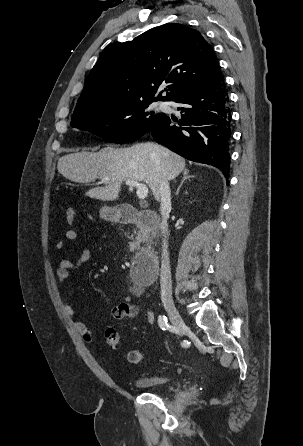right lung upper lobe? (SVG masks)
I'll list each match as a JSON object with an SVG mask.
<instances>
[{
  "mask_svg": "<svg viewBox=\"0 0 303 446\" xmlns=\"http://www.w3.org/2000/svg\"><path fill=\"white\" fill-rule=\"evenodd\" d=\"M221 77L214 51L198 31L183 24H164L104 49L73 116L140 100L173 101ZM161 84H168L167 94L163 97L161 91L154 98Z\"/></svg>",
  "mask_w": 303,
  "mask_h": 446,
  "instance_id": "cb5924a9",
  "label": "right lung upper lobe"
}]
</instances>
